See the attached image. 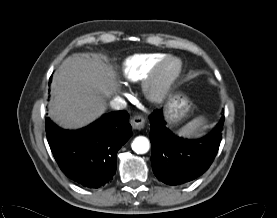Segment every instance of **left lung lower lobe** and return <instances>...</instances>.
Listing matches in <instances>:
<instances>
[{
    "instance_id": "obj_1",
    "label": "left lung lower lobe",
    "mask_w": 277,
    "mask_h": 218,
    "mask_svg": "<svg viewBox=\"0 0 277 218\" xmlns=\"http://www.w3.org/2000/svg\"><path fill=\"white\" fill-rule=\"evenodd\" d=\"M151 162L155 176L169 185L189 182L202 175L213 162L221 142L224 115L211 133L198 140H185L166 127L162 111L150 116Z\"/></svg>"
}]
</instances>
